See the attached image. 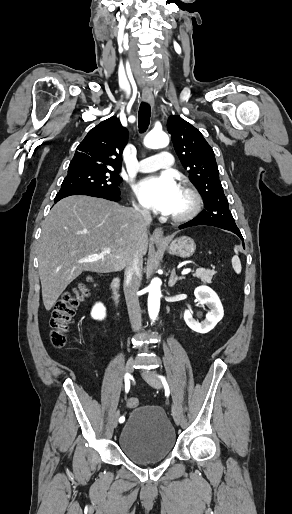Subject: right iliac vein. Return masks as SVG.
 <instances>
[{"mask_svg":"<svg viewBox=\"0 0 292 514\" xmlns=\"http://www.w3.org/2000/svg\"><path fill=\"white\" fill-rule=\"evenodd\" d=\"M125 370L128 374H131L133 371H134V361L132 358H130L127 363H126V366H125ZM118 417H119V412L117 411L115 414H114V417H113V427L115 428L117 426V423H118Z\"/></svg>","mask_w":292,"mask_h":514,"instance_id":"1","label":"right iliac vein"}]
</instances>
